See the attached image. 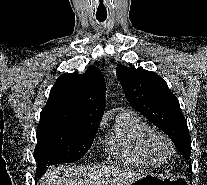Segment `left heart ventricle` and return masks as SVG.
I'll list each match as a JSON object with an SVG mask.
<instances>
[{
  "label": "left heart ventricle",
  "instance_id": "1",
  "mask_svg": "<svg viewBox=\"0 0 207 185\" xmlns=\"http://www.w3.org/2000/svg\"><path fill=\"white\" fill-rule=\"evenodd\" d=\"M159 147H160L161 151H162L164 154H168V153H169V147H168V145L165 144L164 142H160Z\"/></svg>",
  "mask_w": 207,
  "mask_h": 185
}]
</instances>
